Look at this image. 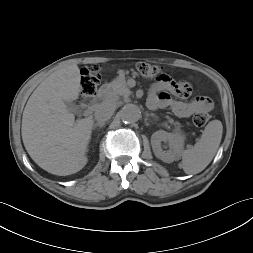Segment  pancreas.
I'll use <instances>...</instances> for the list:
<instances>
[{
  "label": "pancreas",
  "mask_w": 253,
  "mask_h": 253,
  "mask_svg": "<svg viewBox=\"0 0 253 253\" xmlns=\"http://www.w3.org/2000/svg\"><path fill=\"white\" fill-rule=\"evenodd\" d=\"M106 93L104 98L107 100L115 101L122 97H128L131 94L130 89L128 88L126 81L124 79L117 78L113 80L111 83L106 85ZM169 123L180 127L179 122H174L173 119L167 117Z\"/></svg>",
  "instance_id": "1"
}]
</instances>
